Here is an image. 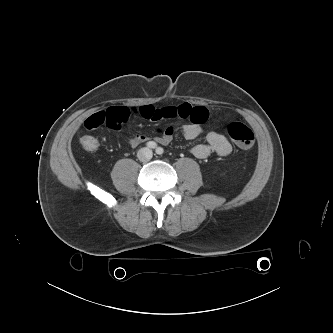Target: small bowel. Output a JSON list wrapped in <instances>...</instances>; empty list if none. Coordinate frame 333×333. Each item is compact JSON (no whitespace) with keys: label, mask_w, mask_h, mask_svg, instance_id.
<instances>
[{"label":"small bowel","mask_w":333,"mask_h":333,"mask_svg":"<svg viewBox=\"0 0 333 333\" xmlns=\"http://www.w3.org/2000/svg\"><path fill=\"white\" fill-rule=\"evenodd\" d=\"M137 113L142 117L161 121L168 118H182L188 122L182 125V132L186 139L193 140L202 135V124L206 122L209 116L207 108L203 106H193L189 103H183L178 106H171L157 109L153 106L145 105L136 109L128 107H110L90 115L85 121L84 126L88 130H94L105 124L112 129L119 130L122 124L132 114ZM159 135L155 138L161 144H168L174 134L171 126L158 130ZM149 140V137L143 134H134L129 138V144L133 147L138 146ZM232 152L230 141L222 134L216 131H210L206 134V140L203 143L192 147L191 153L198 159H205L212 153L219 156H227Z\"/></svg>","instance_id":"1"}]
</instances>
